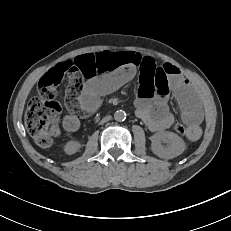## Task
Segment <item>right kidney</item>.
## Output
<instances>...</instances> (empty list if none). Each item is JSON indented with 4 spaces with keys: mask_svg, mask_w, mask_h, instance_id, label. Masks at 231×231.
<instances>
[{
    "mask_svg": "<svg viewBox=\"0 0 231 231\" xmlns=\"http://www.w3.org/2000/svg\"><path fill=\"white\" fill-rule=\"evenodd\" d=\"M80 148V143L78 141L71 140L65 145V152L67 154H73Z\"/></svg>",
    "mask_w": 231,
    "mask_h": 231,
    "instance_id": "ca27d5eb",
    "label": "right kidney"
}]
</instances>
